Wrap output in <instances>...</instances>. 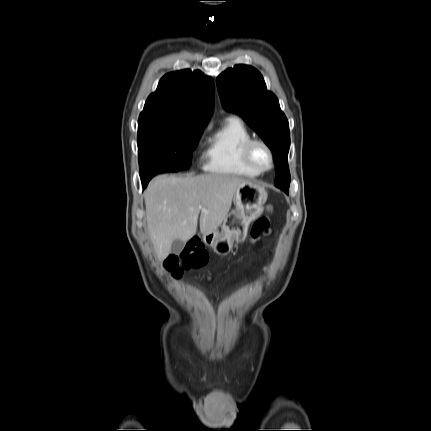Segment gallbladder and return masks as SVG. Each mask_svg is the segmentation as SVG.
<instances>
[{"mask_svg": "<svg viewBox=\"0 0 431 431\" xmlns=\"http://www.w3.org/2000/svg\"><path fill=\"white\" fill-rule=\"evenodd\" d=\"M185 246V242L180 239H175L171 246V252L175 255H178L182 252Z\"/></svg>", "mask_w": 431, "mask_h": 431, "instance_id": "1", "label": "gallbladder"}]
</instances>
